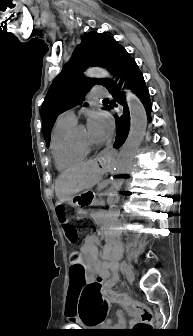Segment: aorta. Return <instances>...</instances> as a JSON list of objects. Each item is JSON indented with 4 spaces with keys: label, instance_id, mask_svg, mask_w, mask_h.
Returning <instances> with one entry per match:
<instances>
[{
    "label": "aorta",
    "instance_id": "aorta-1",
    "mask_svg": "<svg viewBox=\"0 0 193 336\" xmlns=\"http://www.w3.org/2000/svg\"><path fill=\"white\" fill-rule=\"evenodd\" d=\"M85 74L89 77L111 78L106 70L100 68H90ZM124 92L130 113V131L114 165L113 173L115 178L111 182L113 196L118 195V191L123 184L121 176L126 175L130 171L147 128V114L141 100L129 89H124Z\"/></svg>",
    "mask_w": 193,
    "mask_h": 336
}]
</instances>
